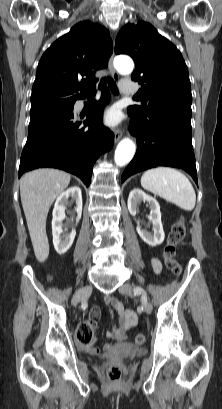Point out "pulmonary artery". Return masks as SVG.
<instances>
[{"label":"pulmonary artery","instance_id":"pulmonary-artery-1","mask_svg":"<svg viewBox=\"0 0 222 409\" xmlns=\"http://www.w3.org/2000/svg\"><path fill=\"white\" fill-rule=\"evenodd\" d=\"M121 92L124 94H134L136 92V87L133 84H119Z\"/></svg>","mask_w":222,"mask_h":409}]
</instances>
